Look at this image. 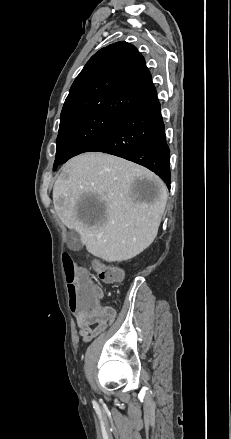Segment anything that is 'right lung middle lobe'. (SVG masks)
Returning a JSON list of instances; mask_svg holds the SVG:
<instances>
[{
	"instance_id": "1",
	"label": "right lung middle lobe",
	"mask_w": 231,
	"mask_h": 439,
	"mask_svg": "<svg viewBox=\"0 0 231 439\" xmlns=\"http://www.w3.org/2000/svg\"><path fill=\"white\" fill-rule=\"evenodd\" d=\"M123 117L102 111H89L60 118L54 170L83 153Z\"/></svg>"
}]
</instances>
